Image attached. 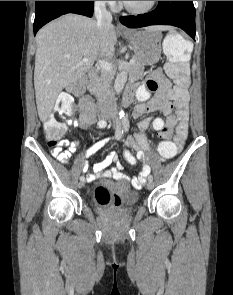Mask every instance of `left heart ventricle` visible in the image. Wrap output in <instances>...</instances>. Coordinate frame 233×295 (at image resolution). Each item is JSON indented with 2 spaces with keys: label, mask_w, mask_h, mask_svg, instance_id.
I'll list each match as a JSON object with an SVG mask.
<instances>
[{
  "label": "left heart ventricle",
  "mask_w": 233,
  "mask_h": 295,
  "mask_svg": "<svg viewBox=\"0 0 233 295\" xmlns=\"http://www.w3.org/2000/svg\"><path fill=\"white\" fill-rule=\"evenodd\" d=\"M127 5L135 9L145 8L151 1H124Z\"/></svg>",
  "instance_id": "obj_1"
}]
</instances>
